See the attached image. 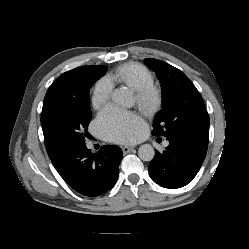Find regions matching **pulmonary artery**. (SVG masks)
Returning a JSON list of instances; mask_svg holds the SVG:
<instances>
[{"instance_id": "e3ab8cb5", "label": "pulmonary artery", "mask_w": 249, "mask_h": 249, "mask_svg": "<svg viewBox=\"0 0 249 249\" xmlns=\"http://www.w3.org/2000/svg\"><path fill=\"white\" fill-rule=\"evenodd\" d=\"M168 144H169L168 142H165V143H164V146H167Z\"/></svg>"}]
</instances>
